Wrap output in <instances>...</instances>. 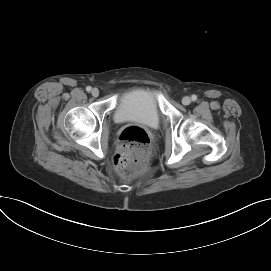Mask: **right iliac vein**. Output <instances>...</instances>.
Returning a JSON list of instances; mask_svg holds the SVG:
<instances>
[{"label":"right iliac vein","instance_id":"obj_1","mask_svg":"<svg viewBox=\"0 0 271 271\" xmlns=\"http://www.w3.org/2000/svg\"><path fill=\"white\" fill-rule=\"evenodd\" d=\"M91 94L93 97H98L99 95V90L97 88H93L91 91Z\"/></svg>","mask_w":271,"mask_h":271}]
</instances>
